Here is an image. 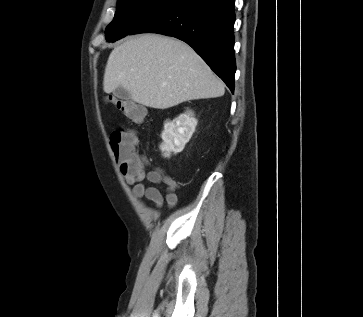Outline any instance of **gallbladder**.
Wrapping results in <instances>:
<instances>
[{
  "label": "gallbladder",
  "instance_id": "gallbladder-1",
  "mask_svg": "<svg viewBox=\"0 0 363 317\" xmlns=\"http://www.w3.org/2000/svg\"><path fill=\"white\" fill-rule=\"evenodd\" d=\"M113 94L117 97V98H120V99H124V100H127L129 99L131 96H130V93L125 90L124 88L122 87H117L114 91H113Z\"/></svg>",
  "mask_w": 363,
  "mask_h": 317
}]
</instances>
